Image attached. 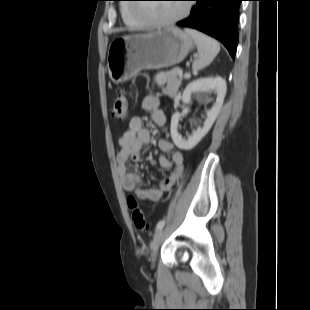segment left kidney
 Instances as JSON below:
<instances>
[{
  "label": "left kidney",
  "instance_id": "5707ae66",
  "mask_svg": "<svg viewBox=\"0 0 310 310\" xmlns=\"http://www.w3.org/2000/svg\"><path fill=\"white\" fill-rule=\"evenodd\" d=\"M214 91L217 94L216 102L213 107L206 113V120L202 128H197L187 139L182 138L178 133V122L181 117L180 113H175L171 119V137L174 144L182 150H190L195 147L201 139L208 133L215 122L222 107L226 95V82L221 77L201 78L191 82L184 90L182 102L187 104L191 100L193 93H199V100L208 101L207 93Z\"/></svg>",
  "mask_w": 310,
  "mask_h": 310
}]
</instances>
